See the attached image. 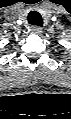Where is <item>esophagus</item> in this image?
Returning a JSON list of instances; mask_svg holds the SVG:
<instances>
[{
	"mask_svg": "<svg viewBox=\"0 0 71 119\" xmlns=\"http://www.w3.org/2000/svg\"><path fill=\"white\" fill-rule=\"evenodd\" d=\"M30 32H31L32 34H37V35H39V34L42 33V28L39 27V26H32V27L30 28Z\"/></svg>",
	"mask_w": 71,
	"mask_h": 119,
	"instance_id": "1",
	"label": "esophagus"
}]
</instances>
